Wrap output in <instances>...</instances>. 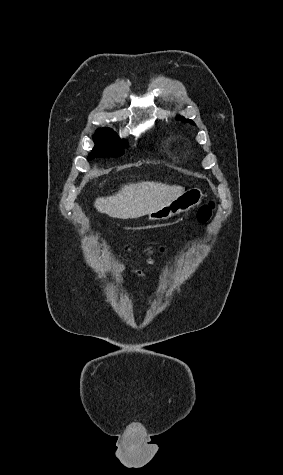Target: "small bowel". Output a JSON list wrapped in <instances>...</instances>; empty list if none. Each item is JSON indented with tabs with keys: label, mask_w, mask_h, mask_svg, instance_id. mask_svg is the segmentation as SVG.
Segmentation results:
<instances>
[{
	"label": "small bowel",
	"mask_w": 283,
	"mask_h": 475,
	"mask_svg": "<svg viewBox=\"0 0 283 475\" xmlns=\"http://www.w3.org/2000/svg\"><path fill=\"white\" fill-rule=\"evenodd\" d=\"M111 271H112V273H114V274H122V273H124V272L126 271V268H125L124 265L118 264V265L114 266ZM131 272H132L135 276H137L138 278H141V279H144V280H149V279H151V277H150L148 274H146V273H144V272H142V271H140V270H135V269H134V270H132Z\"/></svg>",
	"instance_id": "c3829d8e"
}]
</instances>
